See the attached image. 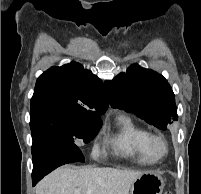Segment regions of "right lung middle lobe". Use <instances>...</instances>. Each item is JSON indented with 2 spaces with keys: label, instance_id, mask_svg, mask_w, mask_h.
<instances>
[{
  "label": "right lung middle lobe",
  "instance_id": "obj_1",
  "mask_svg": "<svg viewBox=\"0 0 201 194\" xmlns=\"http://www.w3.org/2000/svg\"><path fill=\"white\" fill-rule=\"evenodd\" d=\"M100 118H84L71 114L67 107L54 102L31 106L30 128L32 138L50 135L56 139L74 142L76 139L89 143L101 128ZM69 162H84L82 153Z\"/></svg>",
  "mask_w": 201,
  "mask_h": 194
}]
</instances>
